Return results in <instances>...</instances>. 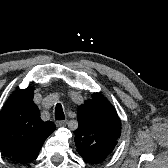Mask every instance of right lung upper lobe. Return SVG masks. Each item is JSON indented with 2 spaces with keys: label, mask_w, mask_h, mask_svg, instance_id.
<instances>
[{
  "label": "right lung upper lobe",
  "mask_w": 168,
  "mask_h": 168,
  "mask_svg": "<svg viewBox=\"0 0 168 168\" xmlns=\"http://www.w3.org/2000/svg\"><path fill=\"white\" fill-rule=\"evenodd\" d=\"M33 92L32 87L15 91L0 112V148L19 163L36 159L44 141L55 130L52 122L41 120Z\"/></svg>",
  "instance_id": "obj_1"
}]
</instances>
